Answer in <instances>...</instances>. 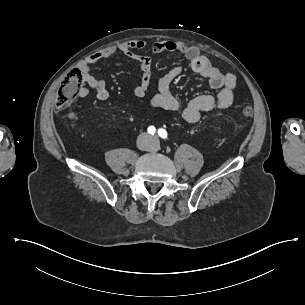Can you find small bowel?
<instances>
[{"instance_id":"c3829d8e","label":"small bowel","mask_w":305,"mask_h":305,"mask_svg":"<svg viewBox=\"0 0 305 305\" xmlns=\"http://www.w3.org/2000/svg\"><path fill=\"white\" fill-rule=\"evenodd\" d=\"M146 46L145 40L135 39L97 51L86 57L78 69L84 83V86H81L78 90V96L85 98L89 95L90 89H93L98 100H108L110 95L107 84L104 80H99L92 75L91 65L102 59L124 55L138 64L141 77L134 88V94L137 97H144L151 84L152 65L150 58L139 54L138 51L145 49ZM150 52L152 54L162 52H177L181 54L189 61L193 71L206 78L212 88L220 90L217 96L200 95L191 99L185 106H182L179 99L171 92V86L181 76L183 68L182 66H174L158 80L157 92L150 99L152 108L180 112L184 121L194 124L200 120L203 113L226 109L232 104L236 89V77L231 73H224L216 68L200 53L197 47L189 46L179 41L162 40L153 43L150 47ZM66 116L70 120H75L77 117L74 111L67 112Z\"/></svg>"}]
</instances>
